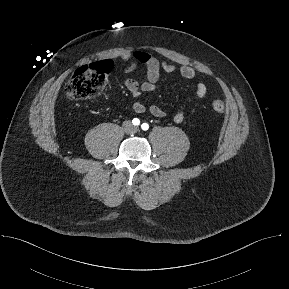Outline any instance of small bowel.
Listing matches in <instances>:
<instances>
[{
    "label": "small bowel",
    "mask_w": 289,
    "mask_h": 289,
    "mask_svg": "<svg viewBox=\"0 0 289 289\" xmlns=\"http://www.w3.org/2000/svg\"><path fill=\"white\" fill-rule=\"evenodd\" d=\"M121 60L127 65L123 69V74L127 75L137 69L138 66L144 65L146 67V77L143 81H138L132 78H124L123 85L131 92L132 96L136 99L133 103V110L137 114L146 111L145 104L139 99L141 92H148L160 97L157 90V82L160 78L161 71L166 73H179L183 78L192 80L197 76V72L190 66H178L159 60L156 56L143 52L134 51L127 52L121 56ZM208 94V88L205 83L198 81L195 84V97L194 105L189 110L194 113L202 104ZM150 113L157 118H164L167 113L158 105H151L149 107ZM187 109L181 108L173 115L175 123L184 121L187 115Z\"/></svg>",
    "instance_id": "1"
}]
</instances>
